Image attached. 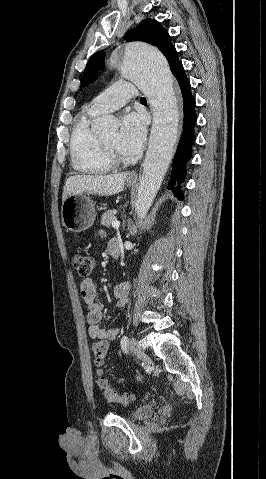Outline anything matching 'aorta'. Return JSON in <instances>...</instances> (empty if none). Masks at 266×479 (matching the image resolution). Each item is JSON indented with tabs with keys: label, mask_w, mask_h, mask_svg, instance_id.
<instances>
[{
	"label": "aorta",
	"mask_w": 266,
	"mask_h": 479,
	"mask_svg": "<svg viewBox=\"0 0 266 479\" xmlns=\"http://www.w3.org/2000/svg\"><path fill=\"white\" fill-rule=\"evenodd\" d=\"M111 61L120 64L123 76L141 89L153 107L148 150L134 201L135 213L141 222L161 187L177 138L179 110L174 78L165 57L146 43L133 42L120 47ZM94 127L99 131L116 129L117 122L111 116H100L95 119Z\"/></svg>",
	"instance_id": "1"
}]
</instances>
